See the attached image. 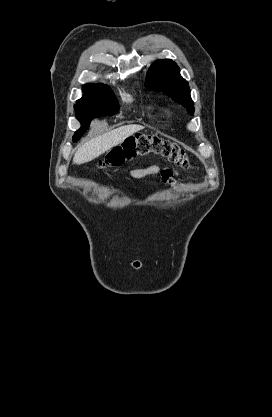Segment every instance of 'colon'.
Returning a JSON list of instances; mask_svg holds the SVG:
<instances>
[{"label": "colon", "instance_id": "1", "mask_svg": "<svg viewBox=\"0 0 272 417\" xmlns=\"http://www.w3.org/2000/svg\"><path fill=\"white\" fill-rule=\"evenodd\" d=\"M148 155H158L174 165L189 169L191 163L188 155L174 143L157 136L136 135L113 148L99 162L101 167H117L127 161Z\"/></svg>", "mask_w": 272, "mask_h": 417}]
</instances>
